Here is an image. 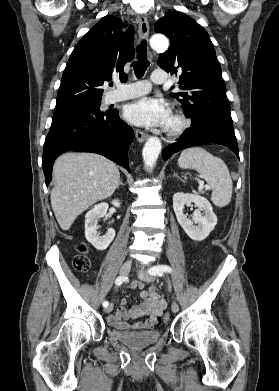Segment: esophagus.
Returning <instances> with one entry per match:
<instances>
[{
    "mask_svg": "<svg viewBox=\"0 0 279 391\" xmlns=\"http://www.w3.org/2000/svg\"><path fill=\"white\" fill-rule=\"evenodd\" d=\"M139 32L143 38H146L149 34V23L146 15H140L139 19ZM148 58L152 59V54L148 53ZM135 136L139 142H144L148 138V134L144 133L141 130H136Z\"/></svg>",
    "mask_w": 279,
    "mask_h": 391,
    "instance_id": "34e87169",
    "label": "esophagus"
}]
</instances>
